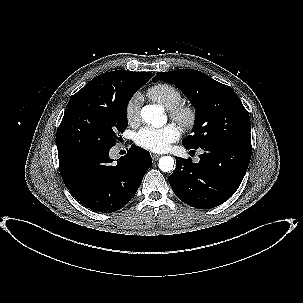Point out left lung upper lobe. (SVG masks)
<instances>
[{
  "label": "left lung upper lobe",
  "mask_w": 303,
  "mask_h": 303,
  "mask_svg": "<svg viewBox=\"0 0 303 303\" xmlns=\"http://www.w3.org/2000/svg\"><path fill=\"white\" fill-rule=\"evenodd\" d=\"M159 80L178 87L196 108L194 134L183 145L196 149L212 141H251L249 114L231 87L193 69L158 72L152 81Z\"/></svg>",
  "instance_id": "1"
}]
</instances>
